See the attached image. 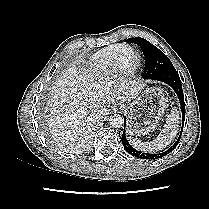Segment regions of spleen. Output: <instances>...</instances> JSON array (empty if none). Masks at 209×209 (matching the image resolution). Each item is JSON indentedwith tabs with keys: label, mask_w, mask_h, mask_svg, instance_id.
I'll return each instance as SVG.
<instances>
[{
	"label": "spleen",
	"mask_w": 209,
	"mask_h": 209,
	"mask_svg": "<svg viewBox=\"0 0 209 209\" xmlns=\"http://www.w3.org/2000/svg\"><path fill=\"white\" fill-rule=\"evenodd\" d=\"M179 123V113L176 108L171 110V113L167 116L166 124L161 130L160 134L151 142H142L141 140L133 137H129L131 144L138 150L143 152H156L165 148L171 143L177 134Z\"/></svg>",
	"instance_id": "spleen-1"
}]
</instances>
